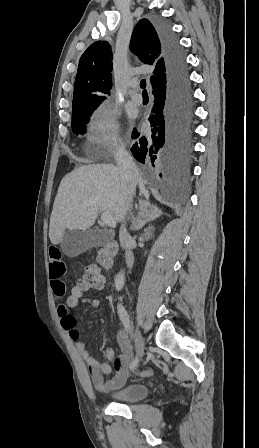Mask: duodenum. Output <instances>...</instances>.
I'll list each match as a JSON object with an SVG mask.
<instances>
[{
	"label": "duodenum",
	"mask_w": 259,
	"mask_h": 448,
	"mask_svg": "<svg viewBox=\"0 0 259 448\" xmlns=\"http://www.w3.org/2000/svg\"><path fill=\"white\" fill-rule=\"evenodd\" d=\"M117 251H118V245L116 241L111 239L107 240L98 252L97 255L98 264L106 270L111 269L114 265V258Z\"/></svg>",
	"instance_id": "410a0bca"
}]
</instances>
